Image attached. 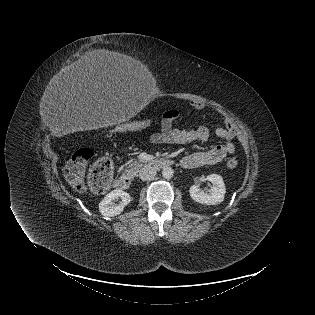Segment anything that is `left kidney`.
I'll return each mask as SVG.
<instances>
[{"label":"left kidney","mask_w":315,"mask_h":315,"mask_svg":"<svg viewBox=\"0 0 315 315\" xmlns=\"http://www.w3.org/2000/svg\"><path fill=\"white\" fill-rule=\"evenodd\" d=\"M207 180L212 183L209 192L202 190L198 185L190 187L189 193L191 198L200 204L215 205L223 202L226 193L223 178L217 174H210Z\"/></svg>","instance_id":"obj_1"}]
</instances>
